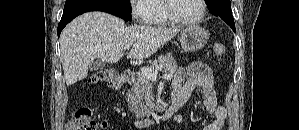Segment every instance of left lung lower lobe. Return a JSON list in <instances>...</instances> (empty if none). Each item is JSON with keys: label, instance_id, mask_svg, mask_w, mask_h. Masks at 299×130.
<instances>
[{"label": "left lung lower lobe", "instance_id": "left-lung-lower-lobe-1", "mask_svg": "<svg viewBox=\"0 0 299 130\" xmlns=\"http://www.w3.org/2000/svg\"><path fill=\"white\" fill-rule=\"evenodd\" d=\"M219 3L221 2L219 1ZM208 9L213 15L219 16L222 20H224L235 32V24L231 10H220L215 7H208Z\"/></svg>", "mask_w": 299, "mask_h": 130}]
</instances>
